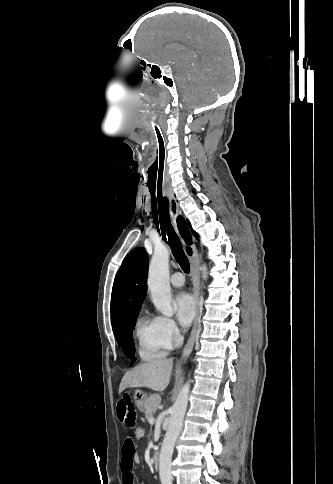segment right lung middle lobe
Segmentation results:
<instances>
[{
  "label": "right lung middle lobe",
  "instance_id": "1",
  "mask_svg": "<svg viewBox=\"0 0 333 484\" xmlns=\"http://www.w3.org/2000/svg\"><path fill=\"white\" fill-rule=\"evenodd\" d=\"M138 315V311L130 314L126 317L114 330V335L119 346H122L126 355L131 359L130 365H133L135 362L134 357V342L132 339V331L135 325L136 317Z\"/></svg>",
  "mask_w": 333,
  "mask_h": 484
}]
</instances>
